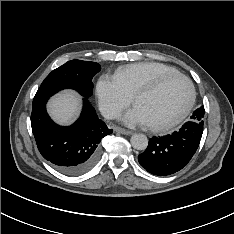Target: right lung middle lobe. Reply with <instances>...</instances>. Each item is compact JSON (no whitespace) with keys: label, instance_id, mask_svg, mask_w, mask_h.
I'll return each mask as SVG.
<instances>
[{"label":"right lung middle lobe","instance_id":"1","mask_svg":"<svg viewBox=\"0 0 234 234\" xmlns=\"http://www.w3.org/2000/svg\"><path fill=\"white\" fill-rule=\"evenodd\" d=\"M101 69L96 62L71 60L53 70L42 82L34 99L33 105L47 100L58 91L71 88L85 98L92 94L93 76Z\"/></svg>","mask_w":234,"mask_h":234}]
</instances>
